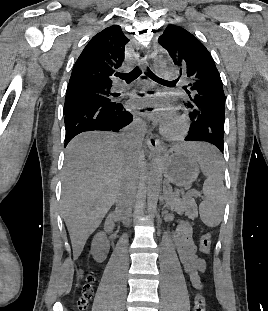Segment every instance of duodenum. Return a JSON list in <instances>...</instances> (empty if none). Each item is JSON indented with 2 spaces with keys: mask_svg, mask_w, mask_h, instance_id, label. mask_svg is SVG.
I'll list each match as a JSON object with an SVG mask.
<instances>
[{
  "mask_svg": "<svg viewBox=\"0 0 268 311\" xmlns=\"http://www.w3.org/2000/svg\"><path fill=\"white\" fill-rule=\"evenodd\" d=\"M113 227L112 222L108 224V228L111 229Z\"/></svg>",
  "mask_w": 268,
  "mask_h": 311,
  "instance_id": "obj_1",
  "label": "duodenum"
}]
</instances>
